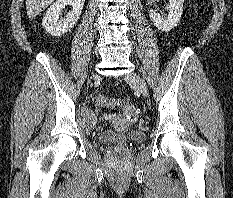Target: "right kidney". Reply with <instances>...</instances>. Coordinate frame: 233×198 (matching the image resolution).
<instances>
[{
	"label": "right kidney",
	"instance_id": "ca27d5eb",
	"mask_svg": "<svg viewBox=\"0 0 233 198\" xmlns=\"http://www.w3.org/2000/svg\"><path fill=\"white\" fill-rule=\"evenodd\" d=\"M84 1L85 0H57L50 6L43 18L42 25L45 30L52 36H61L70 31L81 15ZM67 5L73 7L72 11L67 14L66 19H59L61 10Z\"/></svg>",
	"mask_w": 233,
	"mask_h": 198
}]
</instances>
